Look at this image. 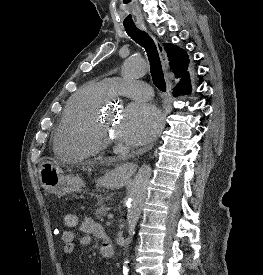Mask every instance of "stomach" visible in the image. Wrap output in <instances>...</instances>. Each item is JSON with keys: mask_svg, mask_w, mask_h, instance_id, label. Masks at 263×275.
Instances as JSON below:
<instances>
[{"mask_svg": "<svg viewBox=\"0 0 263 275\" xmlns=\"http://www.w3.org/2000/svg\"><path fill=\"white\" fill-rule=\"evenodd\" d=\"M39 179L42 187L51 194L61 197L70 192H80L85 186L84 181L78 175H65L62 164L45 161L40 165ZM126 176L119 167L105 173L96 180L97 187L114 189L123 186Z\"/></svg>", "mask_w": 263, "mask_h": 275, "instance_id": "1", "label": "stomach"}]
</instances>
